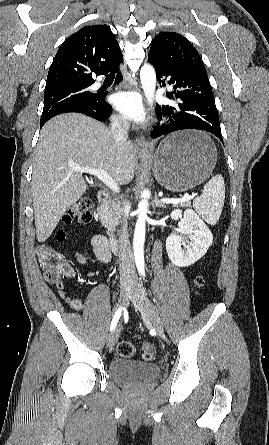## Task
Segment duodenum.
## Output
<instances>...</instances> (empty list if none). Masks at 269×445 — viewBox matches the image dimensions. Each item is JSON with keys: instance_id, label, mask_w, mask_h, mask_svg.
I'll list each match as a JSON object with an SVG mask.
<instances>
[{"instance_id": "duodenum-1", "label": "duodenum", "mask_w": 269, "mask_h": 445, "mask_svg": "<svg viewBox=\"0 0 269 445\" xmlns=\"http://www.w3.org/2000/svg\"><path fill=\"white\" fill-rule=\"evenodd\" d=\"M109 199V193L106 190H99L97 192V201L99 202V204H105ZM106 243L107 246L109 248V250H111L114 253H119V242L117 239H115L114 237L111 236H107L106 238Z\"/></svg>"}]
</instances>
